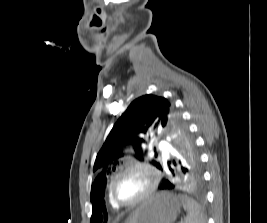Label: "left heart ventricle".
<instances>
[{
	"mask_svg": "<svg viewBox=\"0 0 267 223\" xmlns=\"http://www.w3.org/2000/svg\"><path fill=\"white\" fill-rule=\"evenodd\" d=\"M149 183L150 178L145 172L130 170L117 179L114 192L120 201H133L144 193Z\"/></svg>",
	"mask_w": 267,
	"mask_h": 223,
	"instance_id": "left-heart-ventricle-1",
	"label": "left heart ventricle"
}]
</instances>
